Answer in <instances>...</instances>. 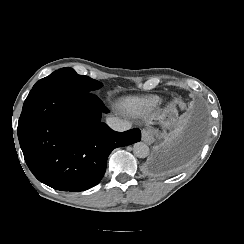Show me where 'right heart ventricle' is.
<instances>
[{
	"label": "right heart ventricle",
	"instance_id": "obj_1",
	"mask_svg": "<svg viewBox=\"0 0 244 244\" xmlns=\"http://www.w3.org/2000/svg\"><path fill=\"white\" fill-rule=\"evenodd\" d=\"M158 104L159 99L157 97L150 99H126L121 103V108L131 115H147L152 113Z\"/></svg>",
	"mask_w": 244,
	"mask_h": 244
}]
</instances>
